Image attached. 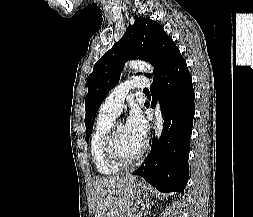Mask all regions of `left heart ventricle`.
<instances>
[{"mask_svg":"<svg viewBox=\"0 0 253 217\" xmlns=\"http://www.w3.org/2000/svg\"><path fill=\"white\" fill-rule=\"evenodd\" d=\"M143 142L136 138L126 124L120 122L117 128L116 147L119 154L126 158H133L140 150Z\"/></svg>","mask_w":253,"mask_h":217,"instance_id":"b2bd125f","label":"left heart ventricle"}]
</instances>
